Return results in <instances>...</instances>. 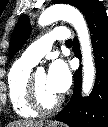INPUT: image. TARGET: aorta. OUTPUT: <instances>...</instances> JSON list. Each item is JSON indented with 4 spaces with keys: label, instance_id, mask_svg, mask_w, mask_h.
<instances>
[{
    "label": "aorta",
    "instance_id": "1",
    "mask_svg": "<svg viewBox=\"0 0 108 127\" xmlns=\"http://www.w3.org/2000/svg\"><path fill=\"white\" fill-rule=\"evenodd\" d=\"M58 20L70 23L76 30L80 42L83 65L82 93L88 95L95 81V65L89 30L81 12L73 6L59 4L49 7L42 12L38 24L41 27L50 25Z\"/></svg>",
    "mask_w": 108,
    "mask_h": 127
}]
</instances>
